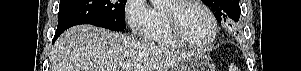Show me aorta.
Here are the masks:
<instances>
[{"label": "aorta", "instance_id": "1", "mask_svg": "<svg viewBox=\"0 0 301 71\" xmlns=\"http://www.w3.org/2000/svg\"><path fill=\"white\" fill-rule=\"evenodd\" d=\"M151 1L155 7H161V6L165 5L167 0H151Z\"/></svg>", "mask_w": 301, "mask_h": 71}]
</instances>
